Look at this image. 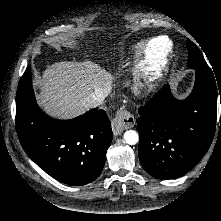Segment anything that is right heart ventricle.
I'll return each instance as SVG.
<instances>
[{"mask_svg":"<svg viewBox=\"0 0 221 221\" xmlns=\"http://www.w3.org/2000/svg\"><path fill=\"white\" fill-rule=\"evenodd\" d=\"M139 47H140V46L138 45V46L136 47V49L139 50Z\"/></svg>","mask_w":221,"mask_h":221,"instance_id":"obj_1","label":"right heart ventricle"}]
</instances>
